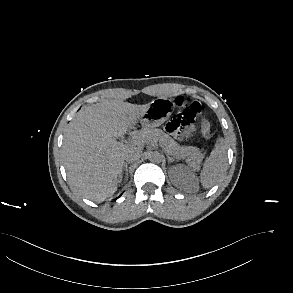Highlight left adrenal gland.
Returning a JSON list of instances; mask_svg holds the SVG:
<instances>
[{"mask_svg": "<svg viewBox=\"0 0 293 293\" xmlns=\"http://www.w3.org/2000/svg\"><path fill=\"white\" fill-rule=\"evenodd\" d=\"M167 157H168V163H171V162L175 161V159H173L172 157H170V156H167Z\"/></svg>", "mask_w": 293, "mask_h": 293, "instance_id": "a2214340", "label": "left adrenal gland"}]
</instances>
